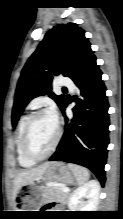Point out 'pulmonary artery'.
I'll list each match as a JSON object with an SVG mask.
<instances>
[{
    "instance_id": "pulmonary-artery-1",
    "label": "pulmonary artery",
    "mask_w": 123,
    "mask_h": 219,
    "mask_svg": "<svg viewBox=\"0 0 123 219\" xmlns=\"http://www.w3.org/2000/svg\"><path fill=\"white\" fill-rule=\"evenodd\" d=\"M60 86L68 88L70 90H74V88H75L73 81L69 78H61L60 79Z\"/></svg>"
}]
</instances>
